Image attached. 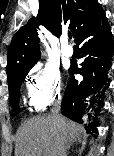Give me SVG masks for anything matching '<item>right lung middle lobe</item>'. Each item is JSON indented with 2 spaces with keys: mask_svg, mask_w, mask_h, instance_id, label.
Masks as SVG:
<instances>
[{
  "mask_svg": "<svg viewBox=\"0 0 114 156\" xmlns=\"http://www.w3.org/2000/svg\"><path fill=\"white\" fill-rule=\"evenodd\" d=\"M27 74H28V71L24 72L20 75H17L15 77H13L12 80L8 83L9 84V94L11 97L10 105L12 106V108L18 109V107H19V101H20L19 89H20L21 84Z\"/></svg>",
  "mask_w": 114,
  "mask_h": 156,
  "instance_id": "dd1d6c3e",
  "label": "right lung middle lobe"
}]
</instances>
